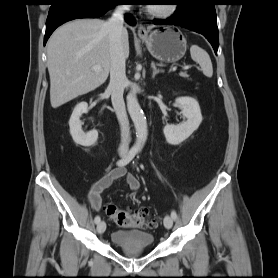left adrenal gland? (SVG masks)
I'll return each mask as SVG.
<instances>
[{"mask_svg":"<svg viewBox=\"0 0 278 278\" xmlns=\"http://www.w3.org/2000/svg\"><path fill=\"white\" fill-rule=\"evenodd\" d=\"M151 67H152V69H153V73H152V78H153V79L155 78V76H156L158 73L163 72L161 69H157V67L155 66V63H154V62L151 63Z\"/></svg>","mask_w":278,"mask_h":278,"instance_id":"a2214340","label":"left adrenal gland"}]
</instances>
